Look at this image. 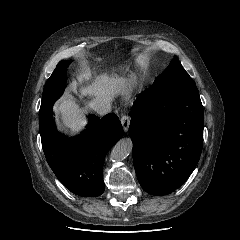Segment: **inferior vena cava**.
<instances>
[{"instance_id": "inferior-vena-cava-1", "label": "inferior vena cava", "mask_w": 240, "mask_h": 240, "mask_svg": "<svg viewBox=\"0 0 240 240\" xmlns=\"http://www.w3.org/2000/svg\"><path fill=\"white\" fill-rule=\"evenodd\" d=\"M91 109L100 115H105L110 112L111 104L109 100L104 98H96L89 103Z\"/></svg>"}]
</instances>
